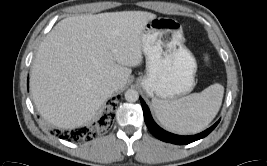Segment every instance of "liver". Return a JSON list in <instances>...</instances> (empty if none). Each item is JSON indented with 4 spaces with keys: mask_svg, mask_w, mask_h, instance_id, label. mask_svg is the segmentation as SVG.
<instances>
[{
    "mask_svg": "<svg viewBox=\"0 0 267 166\" xmlns=\"http://www.w3.org/2000/svg\"><path fill=\"white\" fill-rule=\"evenodd\" d=\"M156 15L145 11L106 12L58 22L36 53L30 88L39 113L64 129L90 121L111 93L122 89L142 63V37Z\"/></svg>",
    "mask_w": 267,
    "mask_h": 166,
    "instance_id": "obj_1",
    "label": "liver"
}]
</instances>
